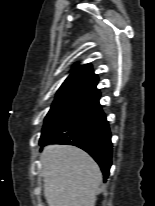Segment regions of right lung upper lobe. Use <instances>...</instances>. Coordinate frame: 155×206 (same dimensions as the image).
<instances>
[{
  "label": "right lung upper lobe",
  "mask_w": 155,
  "mask_h": 206,
  "mask_svg": "<svg viewBox=\"0 0 155 206\" xmlns=\"http://www.w3.org/2000/svg\"><path fill=\"white\" fill-rule=\"evenodd\" d=\"M98 77L92 71L90 64L74 67V70L64 81L60 89L87 88L98 91L96 88Z\"/></svg>",
  "instance_id": "1"
}]
</instances>
